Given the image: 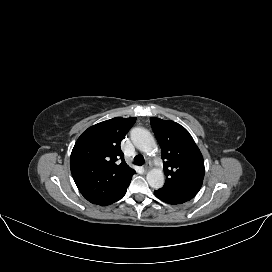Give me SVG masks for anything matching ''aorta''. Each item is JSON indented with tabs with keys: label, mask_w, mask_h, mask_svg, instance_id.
<instances>
[{
	"label": "aorta",
	"mask_w": 272,
	"mask_h": 272,
	"mask_svg": "<svg viewBox=\"0 0 272 272\" xmlns=\"http://www.w3.org/2000/svg\"><path fill=\"white\" fill-rule=\"evenodd\" d=\"M130 138L134 146L144 153H151L157 149L153 136L144 128H133L130 133ZM147 181L154 189L162 188L164 185V173L162 169H151L147 173Z\"/></svg>",
	"instance_id": "aorta-1"
}]
</instances>
